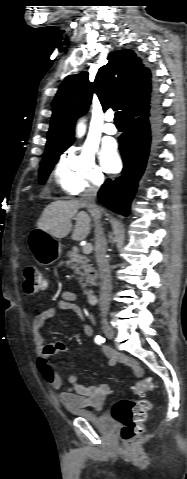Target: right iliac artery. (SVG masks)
<instances>
[{"instance_id":"1","label":"right iliac artery","mask_w":187,"mask_h":479,"mask_svg":"<svg viewBox=\"0 0 187 479\" xmlns=\"http://www.w3.org/2000/svg\"><path fill=\"white\" fill-rule=\"evenodd\" d=\"M95 342H96L97 344H102V343L105 342V338H103V337H101V336L98 335V336L95 337Z\"/></svg>"}]
</instances>
